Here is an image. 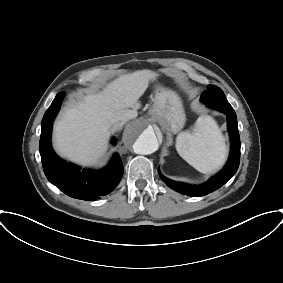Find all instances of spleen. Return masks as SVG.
I'll return each mask as SVG.
<instances>
[{
  "label": "spleen",
  "instance_id": "obj_1",
  "mask_svg": "<svg viewBox=\"0 0 283 283\" xmlns=\"http://www.w3.org/2000/svg\"><path fill=\"white\" fill-rule=\"evenodd\" d=\"M178 154L201 173L217 170L225 161L227 149L216 121L200 116L192 130L183 131L176 139Z\"/></svg>",
  "mask_w": 283,
  "mask_h": 283
}]
</instances>
